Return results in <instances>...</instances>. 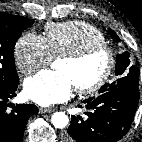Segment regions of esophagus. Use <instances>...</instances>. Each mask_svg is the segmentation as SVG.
<instances>
[{
  "mask_svg": "<svg viewBox=\"0 0 142 142\" xmlns=\"http://www.w3.org/2000/svg\"><path fill=\"white\" fill-rule=\"evenodd\" d=\"M51 112H52V110L49 108H42V107L39 108V113H41V114L51 113Z\"/></svg>",
  "mask_w": 142,
  "mask_h": 142,
  "instance_id": "obj_1",
  "label": "esophagus"
}]
</instances>
